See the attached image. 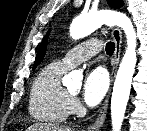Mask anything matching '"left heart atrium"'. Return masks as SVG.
I'll use <instances>...</instances> for the list:
<instances>
[{
	"label": "left heart atrium",
	"mask_w": 147,
	"mask_h": 131,
	"mask_svg": "<svg viewBox=\"0 0 147 131\" xmlns=\"http://www.w3.org/2000/svg\"><path fill=\"white\" fill-rule=\"evenodd\" d=\"M108 75L101 67L90 70L84 79L82 97L89 106H95L101 102L108 89Z\"/></svg>",
	"instance_id": "left-heart-atrium-1"
}]
</instances>
